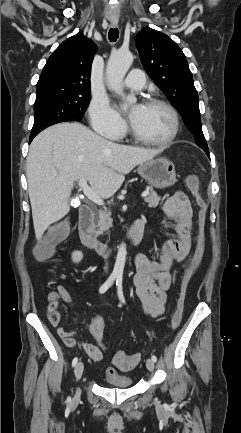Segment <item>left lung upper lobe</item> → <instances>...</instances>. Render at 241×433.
<instances>
[{
  "label": "left lung upper lobe",
  "instance_id": "left-lung-upper-lobe-1",
  "mask_svg": "<svg viewBox=\"0 0 241 433\" xmlns=\"http://www.w3.org/2000/svg\"><path fill=\"white\" fill-rule=\"evenodd\" d=\"M135 42L148 75L179 109L196 144L208 150L201 127L198 94L182 50L170 37L151 28L141 30Z\"/></svg>",
  "mask_w": 241,
  "mask_h": 433
}]
</instances>
